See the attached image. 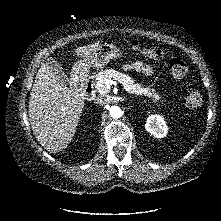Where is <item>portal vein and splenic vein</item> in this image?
I'll list each match as a JSON object with an SVG mask.
<instances>
[{"mask_svg":"<svg viewBox=\"0 0 221 221\" xmlns=\"http://www.w3.org/2000/svg\"><path fill=\"white\" fill-rule=\"evenodd\" d=\"M106 88H110L111 85H116V81H113L111 79L106 81Z\"/></svg>","mask_w":221,"mask_h":221,"instance_id":"18ae733b","label":"portal vein and splenic vein"}]
</instances>
